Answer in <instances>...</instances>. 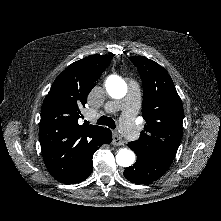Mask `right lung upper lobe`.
I'll return each instance as SVG.
<instances>
[{"instance_id": "right-lung-upper-lobe-1", "label": "right lung upper lobe", "mask_w": 221, "mask_h": 221, "mask_svg": "<svg viewBox=\"0 0 221 221\" xmlns=\"http://www.w3.org/2000/svg\"><path fill=\"white\" fill-rule=\"evenodd\" d=\"M111 56H89L69 65L54 81L41 109L40 144L50 174L66 182L76 171L83 152L99 141L105 128L79 125L86 98Z\"/></svg>"}]
</instances>
